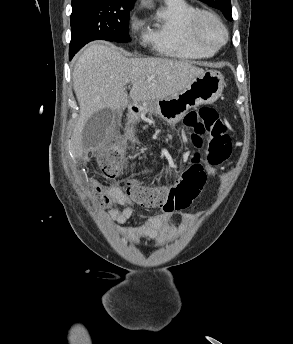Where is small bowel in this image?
<instances>
[{
    "label": "small bowel",
    "mask_w": 293,
    "mask_h": 344,
    "mask_svg": "<svg viewBox=\"0 0 293 344\" xmlns=\"http://www.w3.org/2000/svg\"><path fill=\"white\" fill-rule=\"evenodd\" d=\"M195 179L205 184L207 179L213 175V171L203 165H194ZM106 193L112 201V207L104 215V221L107 227L117 232L122 239L130 240L136 244L139 239L152 241L158 246H162L168 241L176 238L186 226L190 225L194 217L190 214L172 211H159L148 215L146 220L136 226H122L134 214V203L119 185L115 184L105 188ZM179 215L181 228L175 226V217Z\"/></svg>",
    "instance_id": "obj_1"
}]
</instances>
